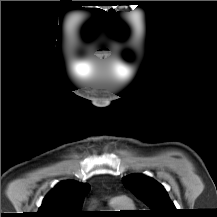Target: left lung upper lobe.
I'll return each mask as SVG.
<instances>
[{"label": "left lung upper lobe", "mask_w": 217, "mask_h": 217, "mask_svg": "<svg viewBox=\"0 0 217 217\" xmlns=\"http://www.w3.org/2000/svg\"><path fill=\"white\" fill-rule=\"evenodd\" d=\"M123 184L149 208L150 217H174L177 209L165 188L143 174H132L122 179Z\"/></svg>", "instance_id": "1"}]
</instances>
